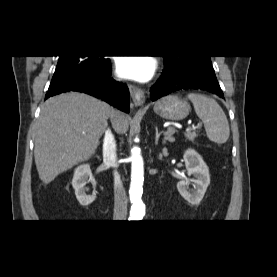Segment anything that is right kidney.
Segmentation results:
<instances>
[{
	"label": "right kidney",
	"mask_w": 277,
	"mask_h": 277,
	"mask_svg": "<svg viewBox=\"0 0 277 277\" xmlns=\"http://www.w3.org/2000/svg\"><path fill=\"white\" fill-rule=\"evenodd\" d=\"M89 182L92 183L94 188L96 187V181L93 178L90 165L82 164L78 166L74 171L72 186L75 190L76 198L82 206H88L96 197L95 191L92 195L86 194L89 189L85 185Z\"/></svg>",
	"instance_id": "ca27d5eb"
}]
</instances>
